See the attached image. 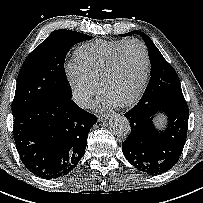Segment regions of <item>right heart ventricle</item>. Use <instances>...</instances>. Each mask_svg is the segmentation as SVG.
<instances>
[{"mask_svg":"<svg viewBox=\"0 0 203 203\" xmlns=\"http://www.w3.org/2000/svg\"><path fill=\"white\" fill-rule=\"evenodd\" d=\"M125 40L95 41L81 45L75 51V59L79 66L96 82L114 51Z\"/></svg>","mask_w":203,"mask_h":203,"instance_id":"e07e8e85","label":"right heart ventricle"}]
</instances>
